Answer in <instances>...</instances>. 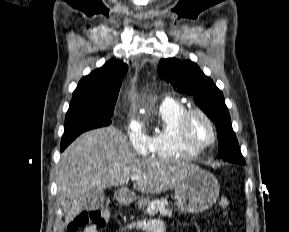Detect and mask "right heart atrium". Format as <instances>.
Here are the masks:
<instances>
[{
  "label": "right heart atrium",
  "mask_w": 289,
  "mask_h": 232,
  "mask_svg": "<svg viewBox=\"0 0 289 232\" xmlns=\"http://www.w3.org/2000/svg\"><path fill=\"white\" fill-rule=\"evenodd\" d=\"M126 137L133 148L138 154H147L150 151L149 137L146 135L141 122L130 117L125 127Z\"/></svg>",
  "instance_id": "d8ad5b80"
}]
</instances>
